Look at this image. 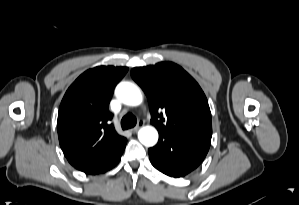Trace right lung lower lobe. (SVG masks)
Instances as JSON below:
<instances>
[{
  "mask_svg": "<svg viewBox=\"0 0 299 205\" xmlns=\"http://www.w3.org/2000/svg\"><path fill=\"white\" fill-rule=\"evenodd\" d=\"M122 155V154H121ZM121 155H120V157L111 165V167L108 169V170H110L111 168H113L118 162H119V160H120V158H121ZM107 171V170H106Z\"/></svg>",
  "mask_w": 299,
  "mask_h": 205,
  "instance_id": "1",
  "label": "right lung lower lobe"
}]
</instances>
